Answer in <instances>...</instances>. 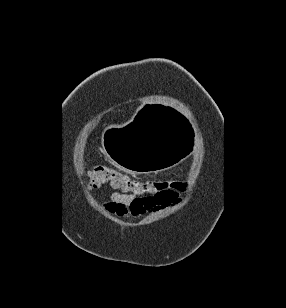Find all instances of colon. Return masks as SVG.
<instances>
[{"label":"colon","mask_w":286,"mask_h":308,"mask_svg":"<svg viewBox=\"0 0 286 308\" xmlns=\"http://www.w3.org/2000/svg\"><path fill=\"white\" fill-rule=\"evenodd\" d=\"M90 187L109 185L121 192L133 194L139 197H162L171 190L183 191L185 183L167 180H141L108 166L100 165L88 171Z\"/></svg>","instance_id":"obj_1"}]
</instances>
